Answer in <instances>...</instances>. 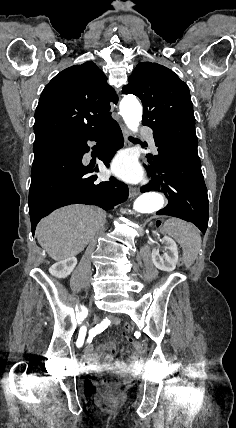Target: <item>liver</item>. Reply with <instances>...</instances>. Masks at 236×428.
I'll use <instances>...</instances> for the list:
<instances>
[{"mask_svg":"<svg viewBox=\"0 0 236 428\" xmlns=\"http://www.w3.org/2000/svg\"><path fill=\"white\" fill-rule=\"evenodd\" d=\"M105 224L100 208L65 206L39 222L38 244L53 260H66L83 252Z\"/></svg>","mask_w":236,"mask_h":428,"instance_id":"obj_1","label":"liver"}]
</instances>
